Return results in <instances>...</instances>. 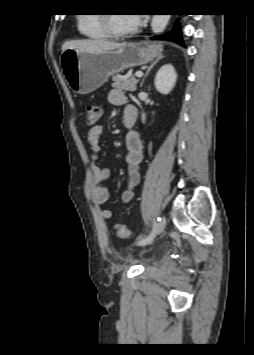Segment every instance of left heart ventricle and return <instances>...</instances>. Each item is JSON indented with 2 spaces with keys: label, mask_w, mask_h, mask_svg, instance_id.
Masks as SVG:
<instances>
[{
  "label": "left heart ventricle",
  "mask_w": 254,
  "mask_h": 355,
  "mask_svg": "<svg viewBox=\"0 0 254 355\" xmlns=\"http://www.w3.org/2000/svg\"><path fill=\"white\" fill-rule=\"evenodd\" d=\"M112 26L117 31H125L135 28L132 17L127 14L115 13L111 15Z\"/></svg>",
  "instance_id": "b2bd125f"
}]
</instances>
